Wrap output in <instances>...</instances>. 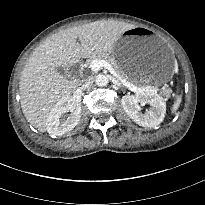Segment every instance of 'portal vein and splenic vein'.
<instances>
[{
    "instance_id": "1",
    "label": "portal vein and splenic vein",
    "mask_w": 205,
    "mask_h": 205,
    "mask_svg": "<svg viewBox=\"0 0 205 205\" xmlns=\"http://www.w3.org/2000/svg\"><path fill=\"white\" fill-rule=\"evenodd\" d=\"M102 67L106 68L112 75H114L115 77L117 78H120L117 73L114 71V69L112 68V66L106 61V60H103V59H96L94 60L91 65H90V68L92 71L94 72H97L99 71ZM125 85L129 88H134L136 89V87L134 85H130L129 83H125ZM142 88V87H141ZM141 88H138V89H141ZM148 89V88H146ZM151 91H157V89H151Z\"/></svg>"
}]
</instances>
